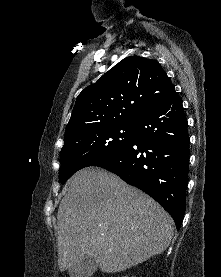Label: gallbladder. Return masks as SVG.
<instances>
[{
    "label": "gallbladder",
    "mask_w": 221,
    "mask_h": 277,
    "mask_svg": "<svg viewBox=\"0 0 221 277\" xmlns=\"http://www.w3.org/2000/svg\"><path fill=\"white\" fill-rule=\"evenodd\" d=\"M98 264L91 256H84L75 262L69 269L70 277H90L97 269Z\"/></svg>",
    "instance_id": "gallbladder-1"
}]
</instances>
